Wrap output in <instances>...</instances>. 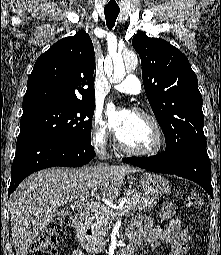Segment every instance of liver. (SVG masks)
<instances>
[{
    "label": "liver",
    "mask_w": 221,
    "mask_h": 255,
    "mask_svg": "<svg viewBox=\"0 0 221 255\" xmlns=\"http://www.w3.org/2000/svg\"><path fill=\"white\" fill-rule=\"evenodd\" d=\"M129 165L48 168L28 176L10 197V222L16 255H27L32 241L57 215L61 205L75 203L89 190L97 201L117 198Z\"/></svg>",
    "instance_id": "6515ba94"
}]
</instances>
